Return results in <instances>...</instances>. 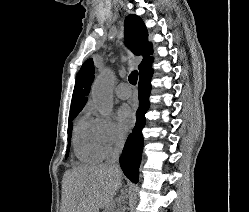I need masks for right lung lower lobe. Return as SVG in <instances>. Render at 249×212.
Here are the masks:
<instances>
[{"label":"right lung lower lobe","mask_w":249,"mask_h":212,"mask_svg":"<svg viewBox=\"0 0 249 212\" xmlns=\"http://www.w3.org/2000/svg\"><path fill=\"white\" fill-rule=\"evenodd\" d=\"M152 73L151 64L140 72L138 84L139 108L136 112V124L132 133L126 140L120 157V166L124 174L134 183H137L139 177L138 170L143 149L142 129L146 124L145 113L149 108V94L151 90L150 79Z\"/></svg>","instance_id":"1"}]
</instances>
